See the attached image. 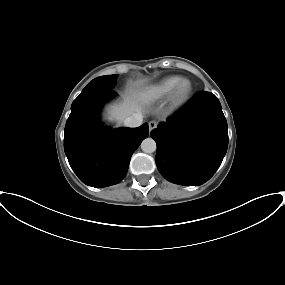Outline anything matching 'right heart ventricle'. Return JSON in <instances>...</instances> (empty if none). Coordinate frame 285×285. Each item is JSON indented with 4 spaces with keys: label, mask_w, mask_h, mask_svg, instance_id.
<instances>
[{
    "label": "right heart ventricle",
    "mask_w": 285,
    "mask_h": 285,
    "mask_svg": "<svg viewBox=\"0 0 285 285\" xmlns=\"http://www.w3.org/2000/svg\"><path fill=\"white\" fill-rule=\"evenodd\" d=\"M183 78L180 76H169L158 83L148 87L143 94L144 99L150 102L160 101L170 96L176 86Z\"/></svg>",
    "instance_id": "e07e8e85"
}]
</instances>
